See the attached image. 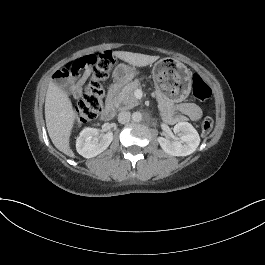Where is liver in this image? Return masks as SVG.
<instances>
[{
  "label": "liver",
  "instance_id": "6515ba94",
  "mask_svg": "<svg viewBox=\"0 0 265 265\" xmlns=\"http://www.w3.org/2000/svg\"><path fill=\"white\" fill-rule=\"evenodd\" d=\"M113 55L137 67L147 66L159 59V56L125 51H114ZM45 119L48 134L54 146L69 157H74V153L69 146V137L75 119V112L66 91L52 81L49 83L46 92Z\"/></svg>",
  "mask_w": 265,
  "mask_h": 265
}]
</instances>
